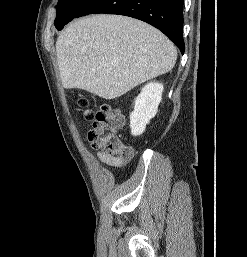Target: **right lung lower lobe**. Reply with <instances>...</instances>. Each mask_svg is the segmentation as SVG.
Listing matches in <instances>:
<instances>
[{
    "label": "right lung lower lobe",
    "mask_w": 247,
    "mask_h": 257,
    "mask_svg": "<svg viewBox=\"0 0 247 257\" xmlns=\"http://www.w3.org/2000/svg\"><path fill=\"white\" fill-rule=\"evenodd\" d=\"M95 13L125 15L147 22L184 53L183 0H92L76 17Z\"/></svg>",
    "instance_id": "1"
}]
</instances>
